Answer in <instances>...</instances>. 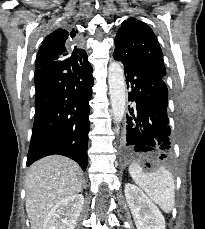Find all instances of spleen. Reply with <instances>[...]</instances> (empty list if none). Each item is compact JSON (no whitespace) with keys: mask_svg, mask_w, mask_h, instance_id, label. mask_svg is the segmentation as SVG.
<instances>
[{"mask_svg":"<svg viewBox=\"0 0 205 229\" xmlns=\"http://www.w3.org/2000/svg\"><path fill=\"white\" fill-rule=\"evenodd\" d=\"M129 173L134 182L164 212L172 211L175 205V182L168 170L160 168L153 173H145L139 164L134 163L129 166Z\"/></svg>","mask_w":205,"mask_h":229,"instance_id":"3e777b00","label":"spleen"}]
</instances>
